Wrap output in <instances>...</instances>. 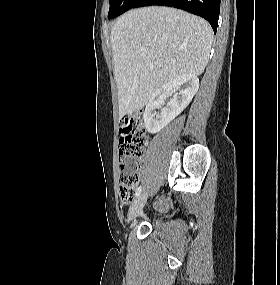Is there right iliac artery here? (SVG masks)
Returning <instances> with one entry per match:
<instances>
[{
  "mask_svg": "<svg viewBox=\"0 0 280 285\" xmlns=\"http://www.w3.org/2000/svg\"><path fill=\"white\" fill-rule=\"evenodd\" d=\"M141 192H142V187L140 186V187H138L135 196H136V197H139L140 194H141Z\"/></svg>",
  "mask_w": 280,
  "mask_h": 285,
  "instance_id": "obj_1",
  "label": "right iliac artery"
}]
</instances>
